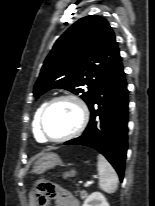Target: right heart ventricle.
<instances>
[{"instance_id": "e07e8e85", "label": "right heart ventricle", "mask_w": 155, "mask_h": 206, "mask_svg": "<svg viewBox=\"0 0 155 206\" xmlns=\"http://www.w3.org/2000/svg\"><path fill=\"white\" fill-rule=\"evenodd\" d=\"M47 104L46 101L42 102L39 107L37 108L35 115H34V120L32 123V130L34 133V137L38 142H44L45 140L41 137L39 130H38V120L39 116L41 114V111L43 110L44 106Z\"/></svg>"}]
</instances>
